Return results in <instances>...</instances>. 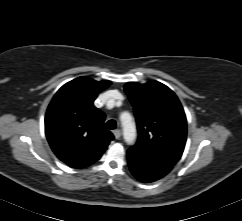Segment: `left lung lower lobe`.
I'll use <instances>...</instances> for the list:
<instances>
[{
    "label": "left lung lower lobe",
    "instance_id": "obj_1",
    "mask_svg": "<svg viewBox=\"0 0 242 221\" xmlns=\"http://www.w3.org/2000/svg\"><path fill=\"white\" fill-rule=\"evenodd\" d=\"M127 158L131 173L143 183L153 182L164 177L174 166L131 149L127 151Z\"/></svg>",
    "mask_w": 242,
    "mask_h": 221
}]
</instances>
